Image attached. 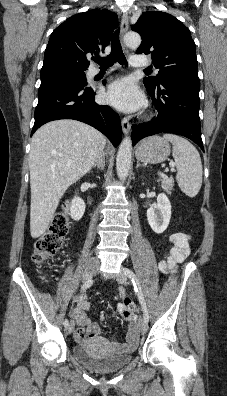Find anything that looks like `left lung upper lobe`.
<instances>
[{
  "label": "left lung upper lobe",
  "mask_w": 227,
  "mask_h": 396,
  "mask_svg": "<svg viewBox=\"0 0 227 396\" xmlns=\"http://www.w3.org/2000/svg\"><path fill=\"white\" fill-rule=\"evenodd\" d=\"M131 28L142 38L136 53H151L152 63L159 69L156 77L143 79L146 87L157 88L170 78L199 81L195 43L178 19L165 12L147 11Z\"/></svg>",
  "instance_id": "1"
}]
</instances>
